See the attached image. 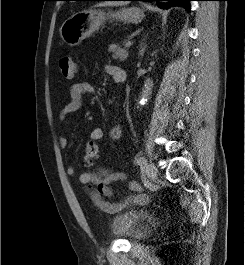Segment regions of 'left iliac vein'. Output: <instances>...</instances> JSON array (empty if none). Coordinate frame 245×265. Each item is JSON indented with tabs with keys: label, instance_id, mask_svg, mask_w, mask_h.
<instances>
[{
	"label": "left iliac vein",
	"instance_id": "left-iliac-vein-1",
	"mask_svg": "<svg viewBox=\"0 0 245 265\" xmlns=\"http://www.w3.org/2000/svg\"><path fill=\"white\" fill-rule=\"evenodd\" d=\"M157 173H158V170L153 163L147 164L146 174L151 181H154L157 178Z\"/></svg>",
	"mask_w": 245,
	"mask_h": 265
}]
</instances>
